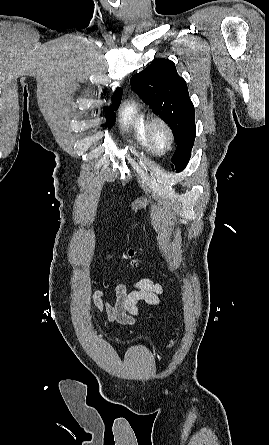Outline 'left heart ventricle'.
Listing matches in <instances>:
<instances>
[{"label":"left heart ventricle","mask_w":269,"mask_h":445,"mask_svg":"<svg viewBox=\"0 0 269 445\" xmlns=\"http://www.w3.org/2000/svg\"><path fill=\"white\" fill-rule=\"evenodd\" d=\"M154 139H155L156 144L160 148H164L167 145V137H166L165 133L160 129H157L155 131Z\"/></svg>","instance_id":"1"}]
</instances>
